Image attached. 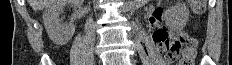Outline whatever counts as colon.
<instances>
[{
  "mask_svg": "<svg viewBox=\"0 0 232 65\" xmlns=\"http://www.w3.org/2000/svg\"><path fill=\"white\" fill-rule=\"evenodd\" d=\"M206 0H191V8L197 15L202 14L205 11ZM160 43V48L167 61L175 60L181 53L179 65H194L197 42L193 38H187L186 36H173L169 34Z\"/></svg>",
  "mask_w": 232,
  "mask_h": 65,
  "instance_id": "1",
  "label": "colon"
}]
</instances>
